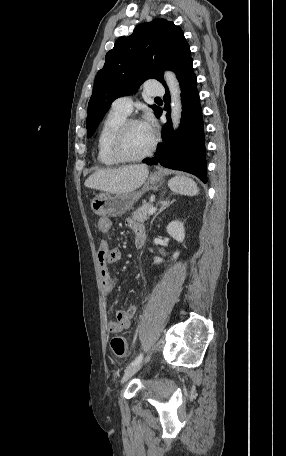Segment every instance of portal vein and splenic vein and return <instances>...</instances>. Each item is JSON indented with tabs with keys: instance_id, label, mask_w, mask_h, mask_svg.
I'll return each instance as SVG.
<instances>
[{
	"instance_id": "obj_1",
	"label": "portal vein and splenic vein",
	"mask_w": 286,
	"mask_h": 456,
	"mask_svg": "<svg viewBox=\"0 0 286 456\" xmlns=\"http://www.w3.org/2000/svg\"><path fill=\"white\" fill-rule=\"evenodd\" d=\"M155 211H156V208H155V207H152V208L149 210V215H152Z\"/></svg>"
}]
</instances>
